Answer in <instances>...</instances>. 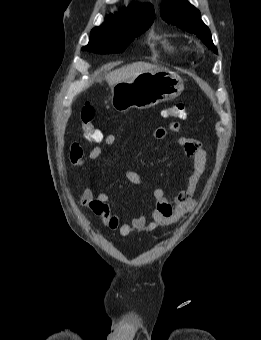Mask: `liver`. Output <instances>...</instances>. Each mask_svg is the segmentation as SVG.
Here are the masks:
<instances>
[{
    "mask_svg": "<svg viewBox=\"0 0 261 340\" xmlns=\"http://www.w3.org/2000/svg\"><path fill=\"white\" fill-rule=\"evenodd\" d=\"M161 68L156 65L146 63V62H135L130 65L123 66L119 69H116L105 76V79L110 87H113L115 84L132 79L139 74L147 71H160Z\"/></svg>",
    "mask_w": 261,
    "mask_h": 340,
    "instance_id": "6515ba94",
    "label": "liver"
}]
</instances>
